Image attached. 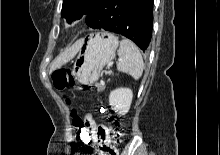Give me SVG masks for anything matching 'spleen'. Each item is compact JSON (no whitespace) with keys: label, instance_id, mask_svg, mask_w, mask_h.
<instances>
[{"label":"spleen","instance_id":"obj_1","mask_svg":"<svg viewBox=\"0 0 220 155\" xmlns=\"http://www.w3.org/2000/svg\"><path fill=\"white\" fill-rule=\"evenodd\" d=\"M118 56L117 70L129 74L134 80H138L142 76L144 63L137 46L128 39L121 40Z\"/></svg>","mask_w":220,"mask_h":155}]
</instances>
